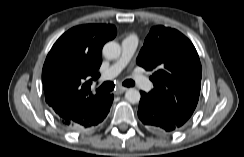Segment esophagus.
<instances>
[{"label":"esophagus","mask_w":244,"mask_h":157,"mask_svg":"<svg viewBox=\"0 0 244 157\" xmlns=\"http://www.w3.org/2000/svg\"><path fill=\"white\" fill-rule=\"evenodd\" d=\"M126 90H127L126 87L118 86V87L115 89L114 93H115L116 95H119V94L124 93Z\"/></svg>","instance_id":"34e87169"}]
</instances>
